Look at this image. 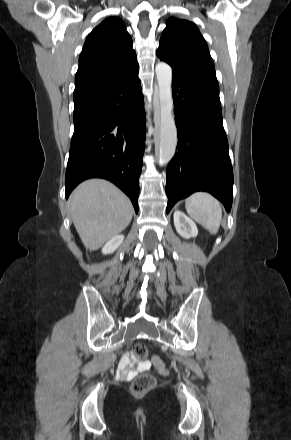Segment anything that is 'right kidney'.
Masks as SVG:
<instances>
[{
    "mask_svg": "<svg viewBox=\"0 0 291 440\" xmlns=\"http://www.w3.org/2000/svg\"><path fill=\"white\" fill-rule=\"evenodd\" d=\"M124 240L123 235H116L112 239H110L102 248L103 254L113 253L117 248L122 244Z\"/></svg>",
    "mask_w": 291,
    "mask_h": 440,
    "instance_id": "obj_1",
    "label": "right kidney"
}]
</instances>
